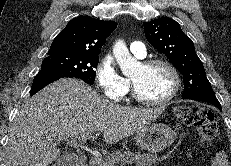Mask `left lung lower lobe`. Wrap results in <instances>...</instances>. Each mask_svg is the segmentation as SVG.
I'll use <instances>...</instances> for the list:
<instances>
[{
    "mask_svg": "<svg viewBox=\"0 0 231 166\" xmlns=\"http://www.w3.org/2000/svg\"><path fill=\"white\" fill-rule=\"evenodd\" d=\"M191 100L210 103L222 111L221 105H220L219 101L217 100L216 96L215 97H205V98H191Z\"/></svg>",
    "mask_w": 231,
    "mask_h": 166,
    "instance_id": "1",
    "label": "left lung lower lobe"
}]
</instances>
